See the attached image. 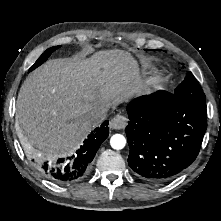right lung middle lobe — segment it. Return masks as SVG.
<instances>
[{"label": "right lung middle lobe", "mask_w": 221, "mask_h": 221, "mask_svg": "<svg viewBox=\"0 0 221 221\" xmlns=\"http://www.w3.org/2000/svg\"><path fill=\"white\" fill-rule=\"evenodd\" d=\"M60 46H54L49 49H47L35 62V64L29 69V71L34 70L37 68L39 65H41L43 62L46 61V59L51 55L52 52H54L56 49H58Z\"/></svg>", "instance_id": "right-lung-middle-lobe-1"}]
</instances>
